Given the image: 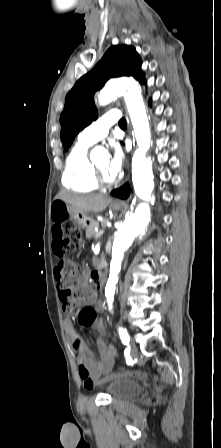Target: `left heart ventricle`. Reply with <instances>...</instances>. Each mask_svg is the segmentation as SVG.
I'll list each match as a JSON object with an SVG mask.
<instances>
[{
    "mask_svg": "<svg viewBox=\"0 0 221 448\" xmlns=\"http://www.w3.org/2000/svg\"><path fill=\"white\" fill-rule=\"evenodd\" d=\"M107 165H108V160L107 159H103L100 162H98L96 164V166L101 170V172L108 178H111L108 173H107Z\"/></svg>",
    "mask_w": 221,
    "mask_h": 448,
    "instance_id": "b2bd125f",
    "label": "left heart ventricle"
}]
</instances>
